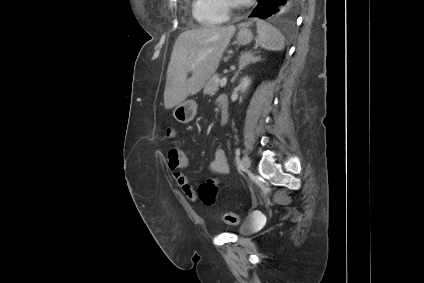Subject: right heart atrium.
I'll list each match as a JSON object with an SVG mask.
<instances>
[{"mask_svg":"<svg viewBox=\"0 0 424 283\" xmlns=\"http://www.w3.org/2000/svg\"><path fill=\"white\" fill-rule=\"evenodd\" d=\"M222 10L226 13L230 7V0H219Z\"/></svg>","mask_w":424,"mask_h":283,"instance_id":"d8ad5b80","label":"right heart atrium"}]
</instances>
